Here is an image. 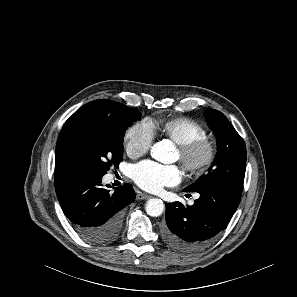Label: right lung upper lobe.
<instances>
[{
    "label": "right lung upper lobe",
    "instance_id": "1",
    "mask_svg": "<svg viewBox=\"0 0 297 297\" xmlns=\"http://www.w3.org/2000/svg\"><path fill=\"white\" fill-rule=\"evenodd\" d=\"M118 102L106 99L92 101L76 111L64 124L62 131L74 120L87 119L109 124L117 123L120 119ZM60 133V134H61ZM56 169H59L55 163Z\"/></svg>",
    "mask_w": 297,
    "mask_h": 297
}]
</instances>
